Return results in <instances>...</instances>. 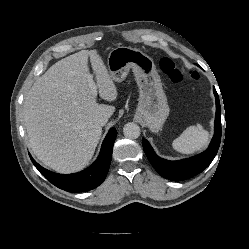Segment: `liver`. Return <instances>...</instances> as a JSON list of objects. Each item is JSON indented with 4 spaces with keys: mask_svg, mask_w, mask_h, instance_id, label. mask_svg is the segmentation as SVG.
<instances>
[{
    "mask_svg": "<svg viewBox=\"0 0 249 249\" xmlns=\"http://www.w3.org/2000/svg\"><path fill=\"white\" fill-rule=\"evenodd\" d=\"M88 58L100 97L114 101L117 88L97 50H82L56 62L24 99L29 147L58 173L78 172L90 162L102 135L97 119L110 118L115 111L114 106L98 104L91 94Z\"/></svg>",
    "mask_w": 249,
    "mask_h": 249,
    "instance_id": "obj_1",
    "label": "liver"
}]
</instances>
